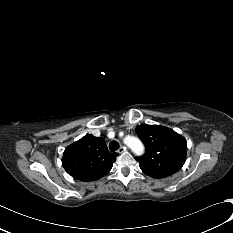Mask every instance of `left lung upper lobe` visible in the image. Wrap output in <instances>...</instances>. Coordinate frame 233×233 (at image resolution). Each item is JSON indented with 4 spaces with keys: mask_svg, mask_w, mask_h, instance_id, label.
Masks as SVG:
<instances>
[{
    "mask_svg": "<svg viewBox=\"0 0 233 233\" xmlns=\"http://www.w3.org/2000/svg\"><path fill=\"white\" fill-rule=\"evenodd\" d=\"M136 133L146 152L137 157L141 170L152 178H165L182 168L186 160V140L174 130L160 125H139Z\"/></svg>",
    "mask_w": 233,
    "mask_h": 233,
    "instance_id": "5c2ea615",
    "label": "left lung upper lobe"
}]
</instances>
